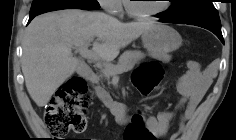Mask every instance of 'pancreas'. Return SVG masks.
Segmentation results:
<instances>
[{
  "label": "pancreas",
  "mask_w": 236,
  "mask_h": 140,
  "mask_svg": "<svg viewBox=\"0 0 236 140\" xmlns=\"http://www.w3.org/2000/svg\"><path fill=\"white\" fill-rule=\"evenodd\" d=\"M145 57V54L141 51H125L119 58L118 64L116 66L105 63L101 69L100 76H96L94 81L97 83L99 78L105 77L109 79L114 75V69H120L122 71H128L132 69L139 61Z\"/></svg>",
  "instance_id": "obj_1"
}]
</instances>
